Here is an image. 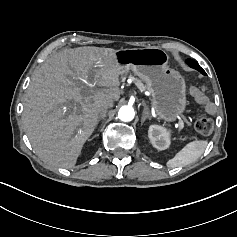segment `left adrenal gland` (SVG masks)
Wrapping results in <instances>:
<instances>
[{
  "mask_svg": "<svg viewBox=\"0 0 237 237\" xmlns=\"http://www.w3.org/2000/svg\"><path fill=\"white\" fill-rule=\"evenodd\" d=\"M146 111H147V110L144 109V112H143V114H142V119H141V124H140V126H142V125L144 124V122H145L146 119L150 120V117L147 115Z\"/></svg>",
  "mask_w": 237,
  "mask_h": 237,
  "instance_id": "1",
  "label": "left adrenal gland"
}]
</instances>
